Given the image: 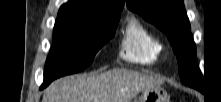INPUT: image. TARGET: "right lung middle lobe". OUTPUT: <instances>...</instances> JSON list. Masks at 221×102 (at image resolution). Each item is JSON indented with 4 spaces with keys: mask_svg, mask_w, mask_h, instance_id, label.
I'll use <instances>...</instances> for the list:
<instances>
[{
    "mask_svg": "<svg viewBox=\"0 0 221 102\" xmlns=\"http://www.w3.org/2000/svg\"><path fill=\"white\" fill-rule=\"evenodd\" d=\"M119 19L120 13L105 17L58 16L43 85L88 67L96 53L114 37Z\"/></svg>",
    "mask_w": 221,
    "mask_h": 102,
    "instance_id": "right-lung-middle-lobe-1",
    "label": "right lung middle lobe"
}]
</instances>
